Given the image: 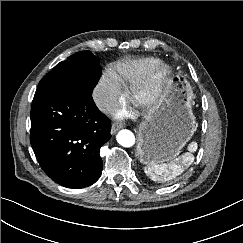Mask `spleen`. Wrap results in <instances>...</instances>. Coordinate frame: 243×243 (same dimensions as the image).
<instances>
[{
  "label": "spleen",
  "mask_w": 243,
  "mask_h": 243,
  "mask_svg": "<svg viewBox=\"0 0 243 243\" xmlns=\"http://www.w3.org/2000/svg\"><path fill=\"white\" fill-rule=\"evenodd\" d=\"M189 152H185L169 163L152 164L144 168L145 173L154 181L166 182L179 176L193 162L192 152L197 150V143L192 142L188 145Z\"/></svg>",
  "instance_id": "spleen-1"
}]
</instances>
